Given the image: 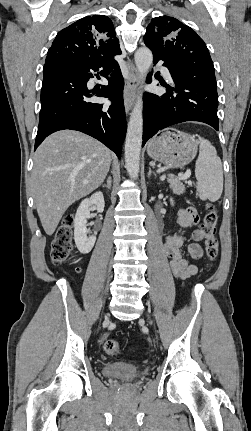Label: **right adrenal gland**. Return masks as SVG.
<instances>
[{
	"instance_id": "obj_1",
	"label": "right adrenal gland",
	"mask_w": 251,
	"mask_h": 431,
	"mask_svg": "<svg viewBox=\"0 0 251 431\" xmlns=\"http://www.w3.org/2000/svg\"><path fill=\"white\" fill-rule=\"evenodd\" d=\"M111 186H112V179H111V176H108L107 183L106 184H102V187L106 188L108 190H111Z\"/></svg>"
}]
</instances>
